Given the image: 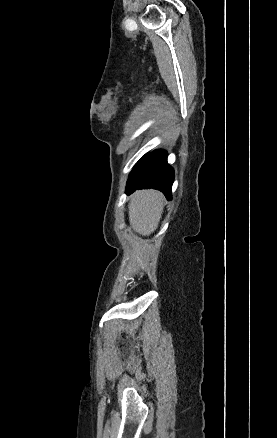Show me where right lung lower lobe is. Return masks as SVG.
Segmentation results:
<instances>
[{
	"label": "right lung lower lobe",
	"mask_w": 277,
	"mask_h": 438,
	"mask_svg": "<svg viewBox=\"0 0 277 438\" xmlns=\"http://www.w3.org/2000/svg\"><path fill=\"white\" fill-rule=\"evenodd\" d=\"M174 180V171L167 163V153L156 150L144 155L130 173L126 193L135 190L153 188L164 193L171 200V189Z\"/></svg>",
	"instance_id": "98d812e1"
}]
</instances>
